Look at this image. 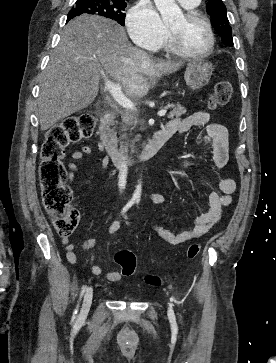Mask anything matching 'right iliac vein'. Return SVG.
<instances>
[{
	"label": "right iliac vein",
	"mask_w": 276,
	"mask_h": 363,
	"mask_svg": "<svg viewBox=\"0 0 276 363\" xmlns=\"http://www.w3.org/2000/svg\"><path fill=\"white\" fill-rule=\"evenodd\" d=\"M92 298H93V288L89 287L86 290L83 298V303L79 314L80 319L85 318L87 316L92 303Z\"/></svg>",
	"instance_id": "63e3f726"
}]
</instances>
